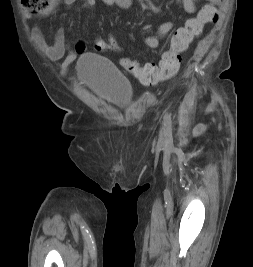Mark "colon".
<instances>
[{
	"instance_id": "5ec220e1",
	"label": "colon",
	"mask_w": 253,
	"mask_h": 267,
	"mask_svg": "<svg viewBox=\"0 0 253 267\" xmlns=\"http://www.w3.org/2000/svg\"><path fill=\"white\" fill-rule=\"evenodd\" d=\"M222 1L209 0V3L201 7L196 17L188 19L183 26L178 28L172 36L170 49L163 54L158 65L147 64L141 67L136 61L125 57L120 61L121 66L146 84L172 78L179 70L181 53L187 50L193 39L202 33L207 24L217 20L218 9L216 6ZM54 2L55 0H21L20 4L26 11L42 12L50 8ZM94 49L97 52H124V48L113 35L97 38L94 42Z\"/></svg>"
}]
</instances>
